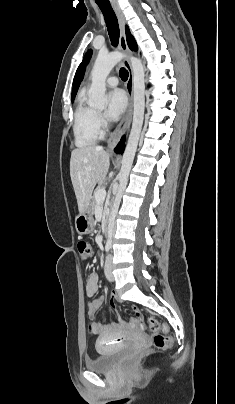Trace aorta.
<instances>
[{"label":"aorta","instance_id":"1","mask_svg":"<svg viewBox=\"0 0 235 404\" xmlns=\"http://www.w3.org/2000/svg\"><path fill=\"white\" fill-rule=\"evenodd\" d=\"M126 56L114 51L108 54L99 53L91 71L92 84L89 89V104L94 108H104L107 104L106 78L113 67ZM133 70V121L130 135L122 158L119 173V187L108 222L107 244L111 245L115 226V217L119 209L123 192L128 183L129 173L140 138L145 110V74L141 61L130 57Z\"/></svg>","mask_w":235,"mask_h":404}]
</instances>
